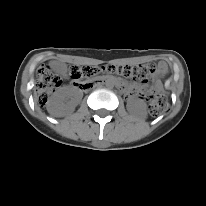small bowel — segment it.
<instances>
[{
	"label": "small bowel",
	"instance_id": "1",
	"mask_svg": "<svg viewBox=\"0 0 206 206\" xmlns=\"http://www.w3.org/2000/svg\"><path fill=\"white\" fill-rule=\"evenodd\" d=\"M166 71H167V65H166V63H165V62H160V63L158 64V67H157L156 71H155V74H156V75H162V74H164Z\"/></svg>",
	"mask_w": 206,
	"mask_h": 206
}]
</instances>
